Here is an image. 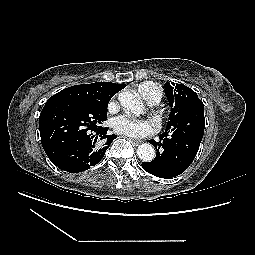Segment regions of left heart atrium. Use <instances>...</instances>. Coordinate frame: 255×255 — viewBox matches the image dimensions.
I'll return each instance as SVG.
<instances>
[{
  "instance_id": "left-heart-atrium-1",
  "label": "left heart atrium",
  "mask_w": 255,
  "mask_h": 255,
  "mask_svg": "<svg viewBox=\"0 0 255 255\" xmlns=\"http://www.w3.org/2000/svg\"><path fill=\"white\" fill-rule=\"evenodd\" d=\"M112 128L120 134L142 138L157 131V123L150 118H136L128 114H121L112 119Z\"/></svg>"
}]
</instances>
